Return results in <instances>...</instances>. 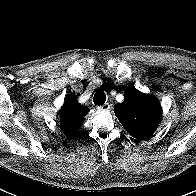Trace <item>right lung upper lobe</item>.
Instances as JSON below:
<instances>
[{
  "mask_svg": "<svg viewBox=\"0 0 196 196\" xmlns=\"http://www.w3.org/2000/svg\"><path fill=\"white\" fill-rule=\"evenodd\" d=\"M67 112H68L67 109H65V111H64V113L62 114V117H61V122L64 126L69 127V125L66 124V115L65 114H67Z\"/></svg>",
  "mask_w": 196,
  "mask_h": 196,
  "instance_id": "1",
  "label": "right lung upper lobe"
}]
</instances>
